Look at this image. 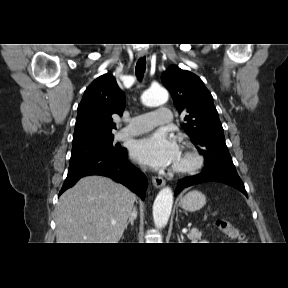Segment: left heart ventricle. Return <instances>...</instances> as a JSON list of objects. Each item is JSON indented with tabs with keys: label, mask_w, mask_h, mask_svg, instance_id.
I'll list each match as a JSON object with an SVG mask.
<instances>
[{
	"label": "left heart ventricle",
	"mask_w": 288,
	"mask_h": 288,
	"mask_svg": "<svg viewBox=\"0 0 288 288\" xmlns=\"http://www.w3.org/2000/svg\"><path fill=\"white\" fill-rule=\"evenodd\" d=\"M180 161H181V155L179 156L177 163L180 162Z\"/></svg>",
	"instance_id": "1"
}]
</instances>
